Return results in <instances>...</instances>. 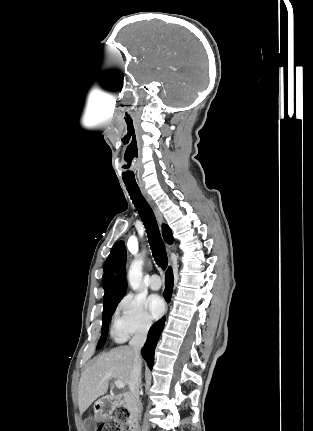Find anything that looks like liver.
I'll return each mask as SVG.
<instances>
[{
  "label": "liver",
  "instance_id": "liver-1",
  "mask_svg": "<svg viewBox=\"0 0 313 431\" xmlns=\"http://www.w3.org/2000/svg\"><path fill=\"white\" fill-rule=\"evenodd\" d=\"M133 364L130 346H119L99 355L82 373L78 387L80 413L108 391L109 381L115 379L129 384Z\"/></svg>",
  "mask_w": 313,
  "mask_h": 431
}]
</instances>
